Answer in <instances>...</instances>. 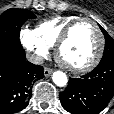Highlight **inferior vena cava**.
Segmentation results:
<instances>
[{"label":"inferior vena cava","mask_w":114,"mask_h":114,"mask_svg":"<svg viewBox=\"0 0 114 114\" xmlns=\"http://www.w3.org/2000/svg\"><path fill=\"white\" fill-rule=\"evenodd\" d=\"M27 59L33 64H42L44 62L43 57L38 54H28Z\"/></svg>","instance_id":"602c4592"}]
</instances>
